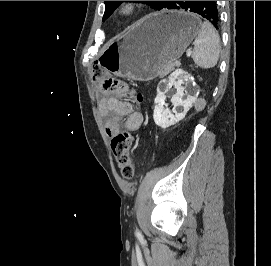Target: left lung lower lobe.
<instances>
[{"mask_svg": "<svg viewBox=\"0 0 271 266\" xmlns=\"http://www.w3.org/2000/svg\"><path fill=\"white\" fill-rule=\"evenodd\" d=\"M166 9L189 10L206 18L216 28H218L220 24L216 1H171Z\"/></svg>", "mask_w": 271, "mask_h": 266, "instance_id": "1", "label": "left lung lower lobe"}]
</instances>
